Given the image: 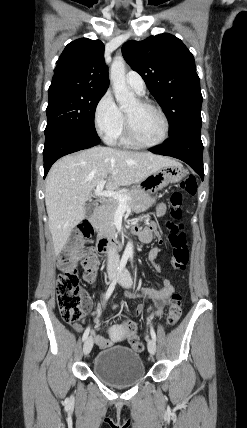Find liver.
I'll return each instance as SVG.
<instances>
[{
  "instance_id": "liver-1",
  "label": "liver",
  "mask_w": 247,
  "mask_h": 428,
  "mask_svg": "<svg viewBox=\"0 0 247 428\" xmlns=\"http://www.w3.org/2000/svg\"><path fill=\"white\" fill-rule=\"evenodd\" d=\"M175 160L146 152L97 146L58 160L46 178L45 204L55 255L86 216L85 204L100 181L114 190L140 183Z\"/></svg>"
}]
</instances>
